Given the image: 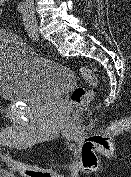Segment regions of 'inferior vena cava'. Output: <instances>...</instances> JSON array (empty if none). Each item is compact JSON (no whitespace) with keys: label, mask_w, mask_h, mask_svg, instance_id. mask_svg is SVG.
I'll return each instance as SVG.
<instances>
[{"label":"inferior vena cava","mask_w":131,"mask_h":177,"mask_svg":"<svg viewBox=\"0 0 131 177\" xmlns=\"http://www.w3.org/2000/svg\"><path fill=\"white\" fill-rule=\"evenodd\" d=\"M26 2H27L30 6H33V5H34V0H26Z\"/></svg>","instance_id":"602c4592"}]
</instances>
